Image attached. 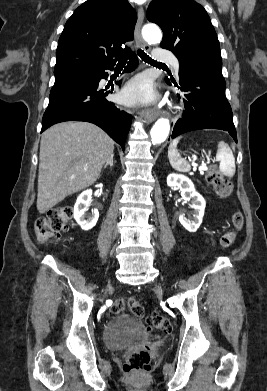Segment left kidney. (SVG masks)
I'll list each match as a JSON object with an SVG mask.
<instances>
[{"label":"left kidney","mask_w":267,"mask_h":391,"mask_svg":"<svg viewBox=\"0 0 267 391\" xmlns=\"http://www.w3.org/2000/svg\"><path fill=\"white\" fill-rule=\"evenodd\" d=\"M167 185L169 187H178L185 201L193 200V220L190 221L184 215H180L179 221L186 230L195 232L202 223L206 206L205 199L195 190L192 181L184 175L170 174L167 177Z\"/></svg>","instance_id":"5707ae66"}]
</instances>
